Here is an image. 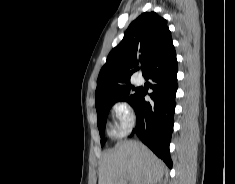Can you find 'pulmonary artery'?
<instances>
[{
  "label": "pulmonary artery",
  "mask_w": 235,
  "mask_h": 184,
  "mask_svg": "<svg viewBox=\"0 0 235 184\" xmlns=\"http://www.w3.org/2000/svg\"><path fill=\"white\" fill-rule=\"evenodd\" d=\"M136 85L137 86H142V85H144V79H143V77L142 76H138L137 78H136Z\"/></svg>",
  "instance_id": "1"
}]
</instances>
